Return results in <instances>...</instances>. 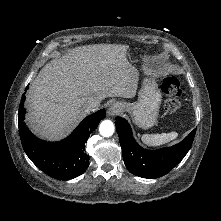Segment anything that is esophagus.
<instances>
[{
  "label": "esophagus",
  "instance_id": "esophagus-1",
  "mask_svg": "<svg viewBox=\"0 0 221 221\" xmlns=\"http://www.w3.org/2000/svg\"><path fill=\"white\" fill-rule=\"evenodd\" d=\"M120 111H121L120 105L118 103H113L108 109V115L115 116V115L119 114Z\"/></svg>",
  "mask_w": 221,
  "mask_h": 221
}]
</instances>
